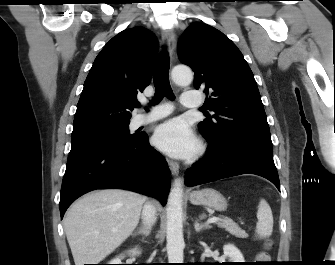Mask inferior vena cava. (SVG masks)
I'll return each instance as SVG.
<instances>
[{"instance_id":"obj_1","label":"inferior vena cava","mask_w":335,"mask_h":265,"mask_svg":"<svg viewBox=\"0 0 335 265\" xmlns=\"http://www.w3.org/2000/svg\"><path fill=\"white\" fill-rule=\"evenodd\" d=\"M142 218L144 220L145 225H149L151 227L152 224L156 221V210L155 208L150 204L146 203L143 207L142 211Z\"/></svg>"}]
</instances>
